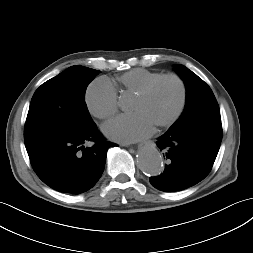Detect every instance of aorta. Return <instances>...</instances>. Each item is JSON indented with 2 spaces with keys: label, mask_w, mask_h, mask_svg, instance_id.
<instances>
[{
  "label": "aorta",
  "mask_w": 253,
  "mask_h": 253,
  "mask_svg": "<svg viewBox=\"0 0 253 253\" xmlns=\"http://www.w3.org/2000/svg\"><path fill=\"white\" fill-rule=\"evenodd\" d=\"M137 165L143 173L149 176H158L164 169L162 155L153 143H148L139 150Z\"/></svg>",
  "instance_id": "762f6f07"
}]
</instances>
